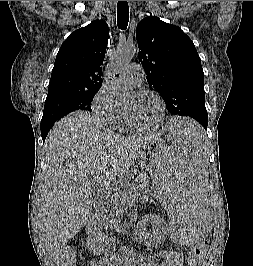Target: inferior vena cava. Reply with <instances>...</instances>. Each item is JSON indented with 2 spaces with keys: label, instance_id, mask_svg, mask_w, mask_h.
Masks as SVG:
<instances>
[{
  "label": "inferior vena cava",
  "instance_id": "obj_1",
  "mask_svg": "<svg viewBox=\"0 0 253 266\" xmlns=\"http://www.w3.org/2000/svg\"><path fill=\"white\" fill-rule=\"evenodd\" d=\"M99 226V225H98ZM98 230H99V228L98 227H96L95 229H94V231L95 232H98Z\"/></svg>",
  "mask_w": 253,
  "mask_h": 266
}]
</instances>
